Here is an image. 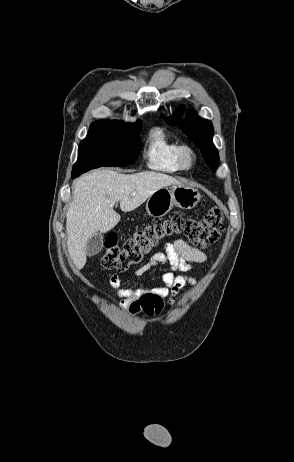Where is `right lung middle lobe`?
Segmentation results:
<instances>
[{
  "label": "right lung middle lobe",
  "mask_w": 294,
  "mask_h": 462,
  "mask_svg": "<svg viewBox=\"0 0 294 462\" xmlns=\"http://www.w3.org/2000/svg\"><path fill=\"white\" fill-rule=\"evenodd\" d=\"M141 127L140 121L135 124L109 120L93 122L87 137L80 142L78 160L74 164L72 176L93 169V165L103 154L111 156L114 166L135 162L141 148Z\"/></svg>",
  "instance_id": "dd1d6c3e"
}]
</instances>
